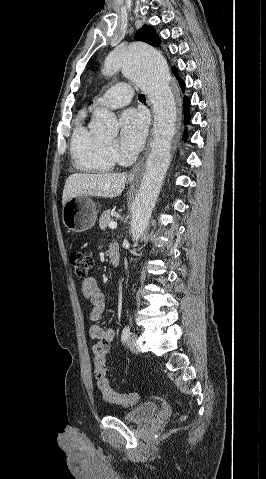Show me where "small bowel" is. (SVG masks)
<instances>
[{
	"label": "small bowel",
	"instance_id": "obj_1",
	"mask_svg": "<svg viewBox=\"0 0 266 479\" xmlns=\"http://www.w3.org/2000/svg\"><path fill=\"white\" fill-rule=\"evenodd\" d=\"M82 293L92 306L90 312V321L92 322L89 329L90 336L93 339L113 343L115 331L113 329H104L99 325L103 319L105 301L104 295L93 277H87L82 281Z\"/></svg>",
	"mask_w": 266,
	"mask_h": 479
}]
</instances>
